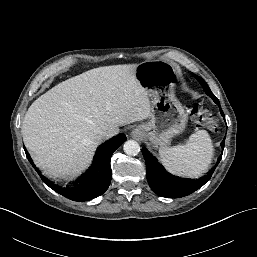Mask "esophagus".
<instances>
[{
	"instance_id": "34e87169",
	"label": "esophagus",
	"mask_w": 257,
	"mask_h": 257,
	"mask_svg": "<svg viewBox=\"0 0 257 257\" xmlns=\"http://www.w3.org/2000/svg\"><path fill=\"white\" fill-rule=\"evenodd\" d=\"M132 137L137 139L139 137V133L137 131H133Z\"/></svg>"
}]
</instances>
